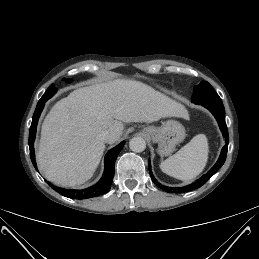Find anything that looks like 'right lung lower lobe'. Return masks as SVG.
<instances>
[{
  "instance_id": "obj_1",
  "label": "right lung lower lobe",
  "mask_w": 259,
  "mask_h": 259,
  "mask_svg": "<svg viewBox=\"0 0 259 259\" xmlns=\"http://www.w3.org/2000/svg\"><path fill=\"white\" fill-rule=\"evenodd\" d=\"M45 102H46V100H44V99L39 100L36 110L33 115L32 123H31V127H30V133H29L30 157H31L32 163L35 168H37V166H36V161H35L33 144H34L38 119H39L40 113L44 107ZM124 144H125L124 141L121 142L119 145H117L116 147L111 149L106 154L104 174H103L101 180L96 185L89 187L87 189H83V190H74V189L68 190V189H63V188L54 186L50 182H47V183L49 184V186H51V188H53L55 191H57L61 195L66 196L68 198H72V199H87V198H92V197H96V196L107 193L110 190L111 183L113 180L114 165H115L116 158H117L119 152L121 151V149L123 148Z\"/></svg>"
}]
</instances>
